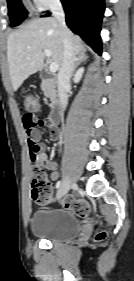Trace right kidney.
I'll return each instance as SVG.
<instances>
[{
    "instance_id": "ca27d5eb",
    "label": "right kidney",
    "mask_w": 134,
    "mask_h": 281,
    "mask_svg": "<svg viewBox=\"0 0 134 281\" xmlns=\"http://www.w3.org/2000/svg\"><path fill=\"white\" fill-rule=\"evenodd\" d=\"M83 73H84V68H80V69L76 72L75 78H74L75 83H78V82L81 80Z\"/></svg>"
}]
</instances>
